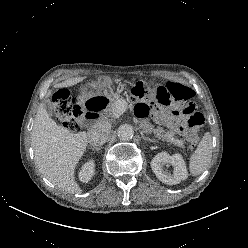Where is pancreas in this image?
Instances as JSON below:
<instances>
[{"mask_svg":"<svg viewBox=\"0 0 248 248\" xmlns=\"http://www.w3.org/2000/svg\"><path fill=\"white\" fill-rule=\"evenodd\" d=\"M120 100H124L120 98L118 94H113V97L110 99L109 107L107 109L108 112H112V110L115 108L116 103ZM140 128L147 134L154 133V135L162 139L163 141L171 142L174 145L184 148V143L181 140L174 138V133L172 131H164L163 128H157L155 129L153 125L148 120H142L139 124Z\"/></svg>","mask_w":248,"mask_h":248,"instance_id":"1","label":"pancreas"}]
</instances>
